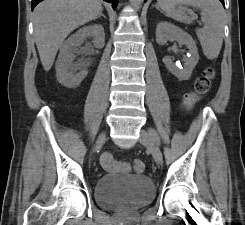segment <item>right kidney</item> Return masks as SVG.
Segmentation results:
<instances>
[{
    "instance_id": "right-kidney-1",
    "label": "right kidney",
    "mask_w": 245,
    "mask_h": 225,
    "mask_svg": "<svg viewBox=\"0 0 245 225\" xmlns=\"http://www.w3.org/2000/svg\"><path fill=\"white\" fill-rule=\"evenodd\" d=\"M89 37L93 38V44L96 48L104 47L105 33L103 26L100 24H93L79 29L61 45L56 62V77L63 86L75 88L87 76L88 71L85 68V63H73V61L76 58L77 47ZM77 70L80 71L77 73Z\"/></svg>"
}]
</instances>
